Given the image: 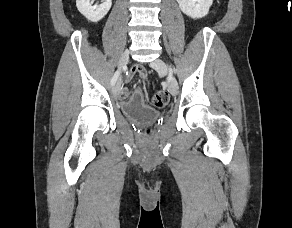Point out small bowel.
<instances>
[{
    "mask_svg": "<svg viewBox=\"0 0 292 228\" xmlns=\"http://www.w3.org/2000/svg\"><path fill=\"white\" fill-rule=\"evenodd\" d=\"M134 76H138L139 78L143 79L147 76V70L144 66L136 64L129 71L128 75L125 78V81L129 82ZM120 98L122 100H129L130 102L136 104H142L144 102L143 92L139 88L134 90V92L132 93L128 88H123L120 93Z\"/></svg>",
    "mask_w": 292,
    "mask_h": 228,
    "instance_id": "small-bowel-1",
    "label": "small bowel"
}]
</instances>
